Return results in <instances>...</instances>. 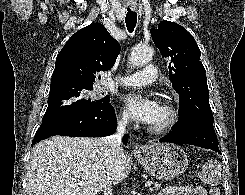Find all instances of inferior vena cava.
I'll list each match as a JSON object with an SVG mask.
<instances>
[{
  "label": "inferior vena cava",
  "mask_w": 245,
  "mask_h": 195,
  "mask_svg": "<svg viewBox=\"0 0 245 195\" xmlns=\"http://www.w3.org/2000/svg\"><path fill=\"white\" fill-rule=\"evenodd\" d=\"M127 123V118L123 117L122 120L118 122L116 133L103 138V142L107 146V161L112 160L115 153L120 150L121 138L126 132ZM101 191L104 195H113L112 182L109 179L103 182Z\"/></svg>",
  "instance_id": "obj_1"
}]
</instances>
